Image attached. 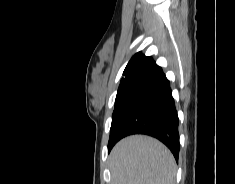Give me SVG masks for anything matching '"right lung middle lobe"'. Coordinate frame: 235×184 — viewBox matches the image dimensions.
Wrapping results in <instances>:
<instances>
[{
    "instance_id": "right-lung-middle-lobe-1",
    "label": "right lung middle lobe",
    "mask_w": 235,
    "mask_h": 184,
    "mask_svg": "<svg viewBox=\"0 0 235 184\" xmlns=\"http://www.w3.org/2000/svg\"><path fill=\"white\" fill-rule=\"evenodd\" d=\"M124 94V91H118L117 92V96H116V100H115V108H114V112L116 111L117 107H118V104L120 103L121 99H122V96ZM113 112V113H114ZM111 145V140H109V143H108V146Z\"/></svg>"
}]
</instances>
